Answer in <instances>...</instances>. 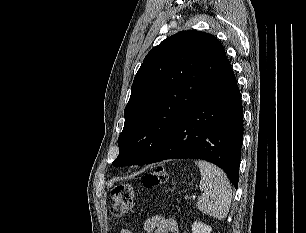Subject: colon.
<instances>
[{"label": "colon", "instance_id": "obj_1", "mask_svg": "<svg viewBox=\"0 0 306 233\" xmlns=\"http://www.w3.org/2000/svg\"><path fill=\"white\" fill-rule=\"evenodd\" d=\"M145 187H157L166 181V171L158 167L153 171L145 173L141 177ZM134 197V190L130 184L120 183L111 189L110 214L113 218L123 217L130 209Z\"/></svg>", "mask_w": 306, "mask_h": 233}]
</instances>
